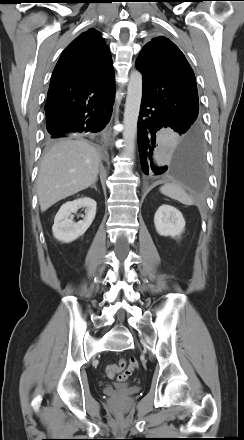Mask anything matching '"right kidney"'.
<instances>
[{"mask_svg":"<svg viewBox=\"0 0 244 440\" xmlns=\"http://www.w3.org/2000/svg\"><path fill=\"white\" fill-rule=\"evenodd\" d=\"M96 205V201L89 197L79 198L63 204L54 218L52 227L54 238L64 243H70L82 236L95 218ZM80 208H85V217L75 223L71 215Z\"/></svg>","mask_w":244,"mask_h":440,"instance_id":"ca27d5eb","label":"right kidney"}]
</instances>
